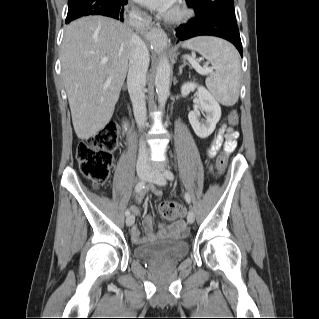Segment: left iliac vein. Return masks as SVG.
Instances as JSON below:
<instances>
[{
	"mask_svg": "<svg viewBox=\"0 0 319 319\" xmlns=\"http://www.w3.org/2000/svg\"><path fill=\"white\" fill-rule=\"evenodd\" d=\"M149 181L160 186H165L167 183L162 173L154 172V171L150 172ZM194 220H195L194 212L192 210H189L187 215V221L188 223L192 224Z\"/></svg>",
	"mask_w": 319,
	"mask_h": 319,
	"instance_id": "obj_1",
	"label": "left iliac vein"
}]
</instances>
